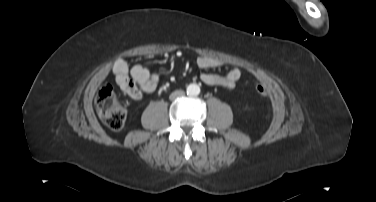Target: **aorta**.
<instances>
[{"label":"aorta","instance_id":"aorta-1","mask_svg":"<svg viewBox=\"0 0 376 202\" xmlns=\"http://www.w3.org/2000/svg\"><path fill=\"white\" fill-rule=\"evenodd\" d=\"M200 93V87L197 84H190L187 87V94L190 96H197Z\"/></svg>","mask_w":376,"mask_h":202}]
</instances>
